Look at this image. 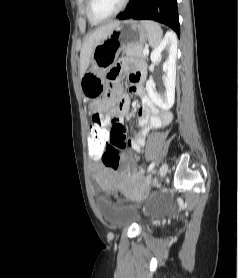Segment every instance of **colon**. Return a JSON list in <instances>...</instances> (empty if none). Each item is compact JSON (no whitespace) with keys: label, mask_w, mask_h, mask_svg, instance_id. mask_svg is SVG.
<instances>
[{"label":"colon","mask_w":238,"mask_h":278,"mask_svg":"<svg viewBox=\"0 0 238 278\" xmlns=\"http://www.w3.org/2000/svg\"><path fill=\"white\" fill-rule=\"evenodd\" d=\"M117 77V76H116ZM113 103V100H110ZM114 114V113H113ZM111 127H119L117 120L111 118L109 126L102 130H87L86 142H89V159H100L104 166L116 169L119 164L120 155L126 148V143H123L125 137H106V132H111ZM100 124H89V129H100Z\"/></svg>","instance_id":"obj_1"}]
</instances>
